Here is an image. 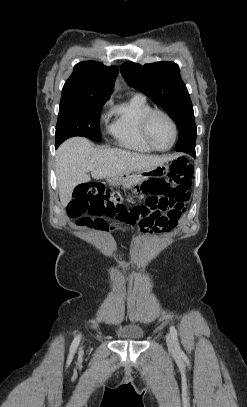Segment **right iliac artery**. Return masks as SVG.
Listing matches in <instances>:
<instances>
[{"mask_svg": "<svg viewBox=\"0 0 247 407\" xmlns=\"http://www.w3.org/2000/svg\"><path fill=\"white\" fill-rule=\"evenodd\" d=\"M79 342H80V335L76 336V337L74 338L73 342H72V345H71V347H70V353H71V354H74V353H75V351H76V349H77V347H78V345H79Z\"/></svg>", "mask_w": 247, "mask_h": 407, "instance_id": "right-iliac-artery-1", "label": "right iliac artery"}]
</instances>
